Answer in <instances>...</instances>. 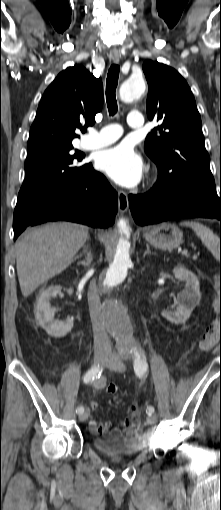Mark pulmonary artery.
Masks as SVG:
<instances>
[{
	"label": "pulmonary artery",
	"mask_w": 221,
	"mask_h": 510,
	"mask_svg": "<svg viewBox=\"0 0 221 510\" xmlns=\"http://www.w3.org/2000/svg\"><path fill=\"white\" fill-rule=\"evenodd\" d=\"M128 125L131 128H142L143 118L140 112H131L128 118ZM123 131L116 124H108L97 131L88 134L85 146L89 149H97L108 146L120 138Z\"/></svg>",
	"instance_id": "e3ab8cb5"
}]
</instances>
